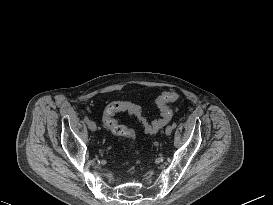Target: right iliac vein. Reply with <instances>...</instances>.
I'll list each match as a JSON object with an SVG mask.
<instances>
[{
    "instance_id": "1",
    "label": "right iliac vein",
    "mask_w": 273,
    "mask_h": 205,
    "mask_svg": "<svg viewBox=\"0 0 273 205\" xmlns=\"http://www.w3.org/2000/svg\"><path fill=\"white\" fill-rule=\"evenodd\" d=\"M87 125H88V128H89L91 131H93V132L96 131L97 126H96V124H95L94 121L89 120V122L87 123Z\"/></svg>"
}]
</instances>
